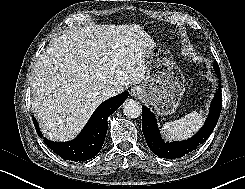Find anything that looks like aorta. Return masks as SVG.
Listing matches in <instances>:
<instances>
[{
	"instance_id": "1",
	"label": "aorta",
	"mask_w": 245,
	"mask_h": 189,
	"mask_svg": "<svg viewBox=\"0 0 245 189\" xmlns=\"http://www.w3.org/2000/svg\"><path fill=\"white\" fill-rule=\"evenodd\" d=\"M123 112L128 118H137L141 114V107L135 100H128L124 103Z\"/></svg>"
}]
</instances>
